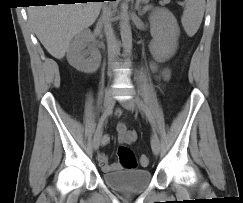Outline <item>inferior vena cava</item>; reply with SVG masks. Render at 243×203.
Returning a JSON list of instances; mask_svg holds the SVG:
<instances>
[{"mask_svg":"<svg viewBox=\"0 0 243 203\" xmlns=\"http://www.w3.org/2000/svg\"><path fill=\"white\" fill-rule=\"evenodd\" d=\"M101 21L107 38L109 68L112 70L116 64L115 61L117 55L119 54L120 48L112 28V15L109 10L103 11Z\"/></svg>","mask_w":243,"mask_h":203,"instance_id":"1","label":"inferior vena cava"}]
</instances>
